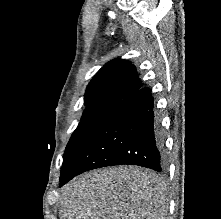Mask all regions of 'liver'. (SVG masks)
Segmentation results:
<instances>
[{
    "label": "liver",
    "instance_id": "obj_1",
    "mask_svg": "<svg viewBox=\"0 0 221 219\" xmlns=\"http://www.w3.org/2000/svg\"><path fill=\"white\" fill-rule=\"evenodd\" d=\"M166 185L154 172L119 166L82 174L63 187L60 219H168Z\"/></svg>",
    "mask_w": 221,
    "mask_h": 219
}]
</instances>
